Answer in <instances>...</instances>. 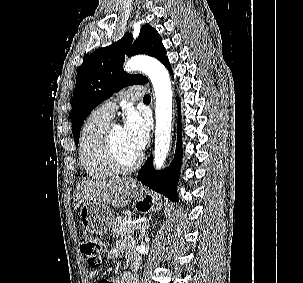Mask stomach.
<instances>
[{
    "label": "stomach",
    "instance_id": "stomach-1",
    "mask_svg": "<svg viewBox=\"0 0 303 283\" xmlns=\"http://www.w3.org/2000/svg\"><path fill=\"white\" fill-rule=\"evenodd\" d=\"M132 194L136 199L135 207L140 211H156L162 206V201L151 192L134 188ZM79 216L82 228L92 234H106L113 223L110 208L97 203H84Z\"/></svg>",
    "mask_w": 303,
    "mask_h": 283
}]
</instances>
